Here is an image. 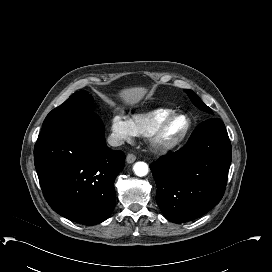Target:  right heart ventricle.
<instances>
[{
    "label": "right heart ventricle",
    "mask_w": 272,
    "mask_h": 272,
    "mask_svg": "<svg viewBox=\"0 0 272 272\" xmlns=\"http://www.w3.org/2000/svg\"><path fill=\"white\" fill-rule=\"evenodd\" d=\"M174 113L171 109H159L147 115H135L132 119L139 133L148 136L166 117Z\"/></svg>",
    "instance_id": "e07e8e85"
}]
</instances>
